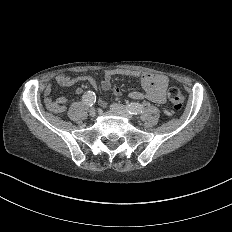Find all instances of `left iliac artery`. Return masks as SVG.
<instances>
[{"label": "left iliac artery", "mask_w": 232, "mask_h": 232, "mask_svg": "<svg viewBox=\"0 0 232 232\" xmlns=\"http://www.w3.org/2000/svg\"><path fill=\"white\" fill-rule=\"evenodd\" d=\"M126 110L130 113V114H139L142 113L144 108L141 104L138 103H131L126 107Z\"/></svg>", "instance_id": "1"}]
</instances>
